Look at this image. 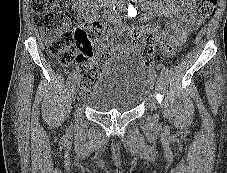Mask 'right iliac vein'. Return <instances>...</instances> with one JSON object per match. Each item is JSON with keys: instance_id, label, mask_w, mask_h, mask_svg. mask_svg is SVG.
I'll use <instances>...</instances> for the list:
<instances>
[{"instance_id": "right-iliac-vein-1", "label": "right iliac vein", "mask_w": 227, "mask_h": 173, "mask_svg": "<svg viewBox=\"0 0 227 173\" xmlns=\"http://www.w3.org/2000/svg\"><path fill=\"white\" fill-rule=\"evenodd\" d=\"M75 95H76V84H72V88H71V96H72V99L74 100L75 99Z\"/></svg>"}]
</instances>
